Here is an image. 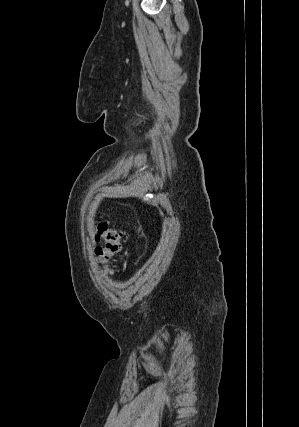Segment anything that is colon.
I'll use <instances>...</instances> for the list:
<instances>
[{"label": "colon", "mask_w": 299, "mask_h": 427, "mask_svg": "<svg viewBox=\"0 0 299 427\" xmlns=\"http://www.w3.org/2000/svg\"><path fill=\"white\" fill-rule=\"evenodd\" d=\"M93 240L95 243L103 242L104 245L95 248V255L98 262L103 266V272L109 274L111 268L108 265L109 259L120 252L121 233L111 228L106 221H100L93 231Z\"/></svg>", "instance_id": "obj_1"}]
</instances>
